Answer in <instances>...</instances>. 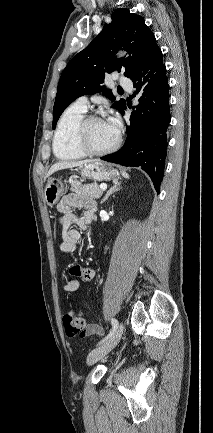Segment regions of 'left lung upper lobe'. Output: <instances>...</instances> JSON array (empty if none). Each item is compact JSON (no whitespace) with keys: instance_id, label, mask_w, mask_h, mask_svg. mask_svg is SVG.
I'll return each mask as SVG.
<instances>
[{"instance_id":"1","label":"left lung upper lobe","mask_w":213,"mask_h":433,"mask_svg":"<svg viewBox=\"0 0 213 433\" xmlns=\"http://www.w3.org/2000/svg\"><path fill=\"white\" fill-rule=\"evenodd\" d=\"M111 18V23L105 24L99 35L63 70L53 108V129L65 108L85 94L103 92L121 112L125 100L115 101L112 91L101 86L105 73L124 71V75L131 78L158 47L143 17L130 13L128 9H116ZM119 49L127 50L130 56L115 58L113 53Z\"/></svg>"}]
</instances>
